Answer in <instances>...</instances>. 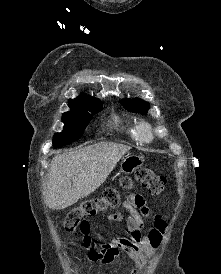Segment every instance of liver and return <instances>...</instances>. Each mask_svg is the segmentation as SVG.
<instances>
[{"instance_id":"liver-1","label":"liver","mask_w":221,"mask_h":274,"mask_svg":"<svg viewBox=\"0 0 221 274\" xmlns=\"http://www.w3.org/2000/svg\"><path fill=\"white\" fill-rule=\"evenodd\" d=\"M129 150V146L101 142L56 155L43 191L46 206L65 209L88 197Z\"/></svg>"}]
</instances>
